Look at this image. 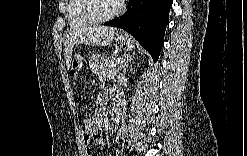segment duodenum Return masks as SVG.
I'll return each mask as SVG.
<instances>
[{"instance_id":"410a0bca","label":"duodenum","mask_w":247,"mask_h":156,"mask_svg":"<svg viewBox=\"0 0 247 156\" xmlns=\"http://www.w3.org/2000/svg\"><path fill=\"white\" fill-rule=\"evenodd\" d=\"M107 97H108V93H107ZM121 115H122V109L120 107H115L112 111V119L117 121L121 118Z\"/></svg>"}]
</instances>
